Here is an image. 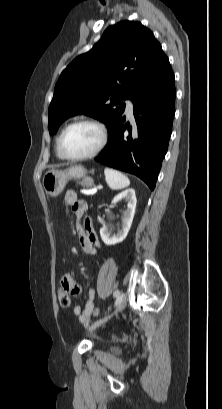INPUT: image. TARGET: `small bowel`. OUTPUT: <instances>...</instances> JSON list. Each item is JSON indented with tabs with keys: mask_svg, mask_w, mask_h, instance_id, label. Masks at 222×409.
I'll use <instances>...</instances> for the list:
<instances>
[{
	"mask_svg": "<svg viewBox=\"0 0 222 409\" xmlns=\"http://www.w3.org/2000/svg\"><path fill=\"white\" fill-rule=\"evenodd\" d=\"M63 206L65 208H70L76 216V231L82 249L88 254H97L100 246L97 235L92 226L91 220L89 218H84V214L88 209L87 203L83 200H79L75 192L67 191L64 195ZM68 274L63 276L62 285L65 283L70 286L68 292L70 297H79L81 295L80 282L75 281L72 274ZM95 299L96 293L91 289L88 292L84 308L80 305L74 307L73 313L78 317L81 324L88 325L90 323V316L95 309Z\"/></svg>",
	"mask_w": 222,
	"mask_h": 409,
	"instance_id": "small-bowel-1",
	"label": "small bowel"
}]
</instances>
